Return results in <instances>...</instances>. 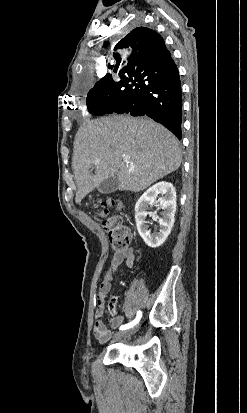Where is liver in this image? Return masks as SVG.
Returning a JSON list of instances; mask_svg holds the SVG:
<instances>
[{
	"mask_svg": "<svg viewBox=\"0 0 247 413\" xmlns=\"http://www.w3.org/2000/svg\"><path fill=\"white\" fill-rule=\"evenodd\" d=\"M95 160V172L89 168ZM129 160V162H125ZM181 164L179 142L165 126L147 116L110 114L84 118L74 140L72 168L75 200L94 190L104 178L118 174L119 190H144Z\"/></svg>",
	"mask_w": 247,
	"mask_h": 413,
	"instance_id": "obj_1",
	"label": "liver"
}]
</instances>
